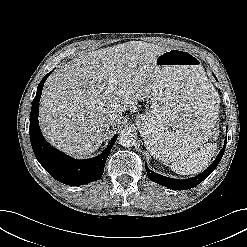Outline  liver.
Segmentation results:
<instances>
[{
    "instance_id": "1",
    "label": "liver",
    "mask_w": 247,
    "mask_h": 247,
    "mask_svg": "<svg viewBox=\"0 0 247 247\" xmlns=\"http://www.w3.org/2000/svg\"><path fill=\"white\" fill-rule=\"evenodd\" d=\"M167 50L130 41L83 53L59 66L46 81L40 100L45 137L68 155L88 158L104 141L111 114L121 117L138 100L150 97L155 61ZM113 80L115 89L110 91Z\"/></svg>"
}]
</instances>
